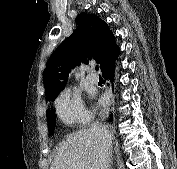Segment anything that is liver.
<instances>
[{
  "label": "liver",
  "mask_w": 177,
  "mask_h": 169,
  "mask_svg": "<svg viewBox=\"0 0 177 169\" xmlns=\"http://www.w3.org/2000/svg\"><path fill=\"white\" fill-rule=\"evenodd\" d=\"M100 145L91 129L67 136L62 142L50 169H101Z\"/></svg>",
  "instance_id": "1"
}]
</instances>
